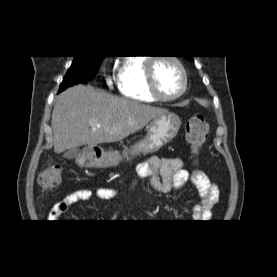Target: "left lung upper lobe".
Returning <instances> with one entry per match:
<instances>
[{"label": "left lung upper lobe", "mask_w": 277, "mask_h": 277, "mask_svg": "<svg viewBox=\"0 0 277 277\" xmlns=\"http://www.w3.org/2000/svg\"><path fill=\"white\" fill-rule=\"evenodd\" d=\"M187 59H189V60H191V61H193V58H192V56H190V57H186Z\"/></svg>", "instance_id": "left-lung-upper-lobe-1"}]
</instances>
